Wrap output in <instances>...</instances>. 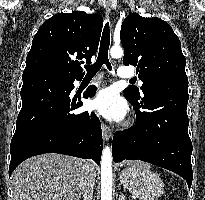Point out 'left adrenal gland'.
Returning a JSON list of instances; mask_svg holds the SVG:
<instances>
[{"label": "left adrenal gland", "mask_w": 205, "mask_h": 200, "mask_svg": "<svg viewBox=\"0 0 205 200\" xmlns=\"http://www.w3.org/2000/svg\"><path fill=\"white\" fill-rule=\"evenodd\" d=\"M119 200H126V199H125V195H124V194H121Z\"/></svg>", "instance_id": "1"}]
</instances>
